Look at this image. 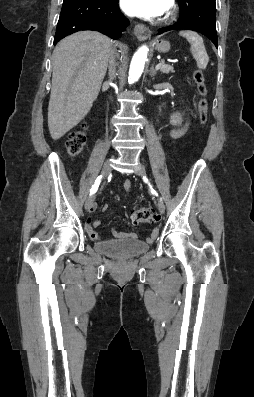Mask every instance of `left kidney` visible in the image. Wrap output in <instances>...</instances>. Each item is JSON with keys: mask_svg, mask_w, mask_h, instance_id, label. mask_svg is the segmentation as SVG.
I'll return each mask as SVG.
<instances>
[{"mask_svg": "<svg viewBox=\"0 0 254 397\" xmlns=\"http://www.w3.org/2000/svg\"><path fill=\"white\" fill-rule=\"evenodd\" d=\"M172 125H178L181 123V117L179 113L173 114L171 116V121Z\"/></svg>", "mask_w": 254, "mask_h": 397, "instance_id": "5707ae66", "label": "left kidney"}]
</instances>
